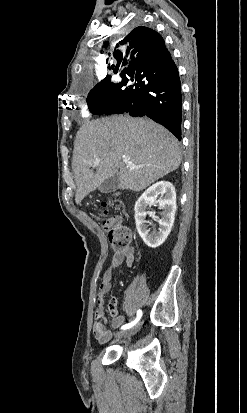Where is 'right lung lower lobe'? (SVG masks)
Instances as JSON below:
<instances>
[{
  "instance_id": "98d812e1",
  "label": "right lung lower lobe",
  "mask_w": 247,
  "mask_h": 413,
  "mask_svg": "<svg viewBox=\"0 0 247 413\" xmlns=\"http://www.w3.org/2000/svg\"><path fill=\"white\" fill-rule=\"evenodd\" d=\"M129 80L130 85L127 84ZM122 84L121 91L107 104L103 115L148 116L181 140V84L172 59L154 73L126 76Z\"/></svg>"
}]
</instances>
